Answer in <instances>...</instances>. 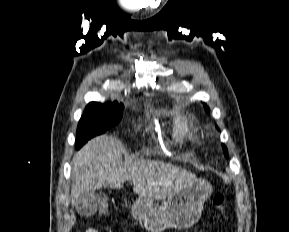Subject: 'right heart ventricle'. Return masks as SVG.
Returning a JSON list of instances; mask_svg holds the SVG:
<instances>
[{
    "label": "right heart ventricle",
    "instance_id": "obj_1",
    "mask_svg": "<svg viewBox=\"0 0 289 232\" xmlns=\"http://www.w3.org/2000/svg\"><path fill=\"white\" fill-rule=\"evenodd\" d=\"M194 134V127L186 116L178 114L171 119L168 126V137L175 146L188 145L193 140Z\"/></svg>",
    "mask_w": 289,
    "mask_h": 232
}]
</instances>
